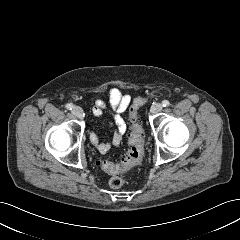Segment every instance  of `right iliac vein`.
<instances>
[{
	"mask_svg": "<svg viewBox=\"0 0 240 240\" xmlns=\"http://www.w3.org/2000/svg\"><path fill=\"white\" fill-rule=\"evenodd\" d=\"M72 113H73L76 117H78L79 119H82V118H83V110H82V108L79 107V106L73 107Z\"/></svg>",
	"mask_w": 240,
	"mask_h": 240,
	"instance_id": "right-iliac-vein-1",
	"label": "right iliac vein"
}]
</instances>
